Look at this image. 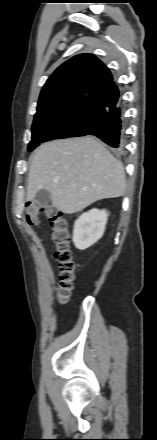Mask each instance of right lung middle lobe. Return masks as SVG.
I'll return each instance as SVG.
<instances>
[{
	"label": "right lung middle lobe",
	"instance_id": "1",
	"mask_svg": "<svg viewBox=\"0 0 157 440\" xmlns=\"http://www.w3.org/2000/svg\"><path fill=\"white\" fill-rule=\"evenodd\" d=\"M90 135L89 129L82 121L57 120L38 121L32 126V141L28 149L33 150L40 143L68 137Z\"/></svg>",
	"mask_w": 157,
	"mask_h": 440
}]
</instances>
